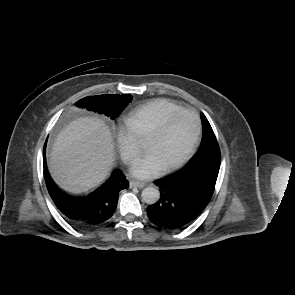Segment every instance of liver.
I'll list each match as a JSON object with an SVG mask.
<instances>
[{
	"label": "liver",
	"mask_w": 295,
	"mask_h": 295,
	"mask_svg": "<svg viewBox=\"0 0 295 295\" xmlns=\"http://www.w3.org/2000/svg\"><path fill=\"white\" fill-rule=\"evenodd\" d=\"M115 152L108 126L95 117H81L56 137L49 170L64 190L79 194L100 185L110 174Z\"/></svg>",
	"instance_id": "1"
}]
</instances>
